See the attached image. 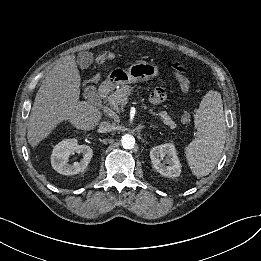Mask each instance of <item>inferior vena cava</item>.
Instances as JSON below:
<instances>
[{"instance_id":"602c4592","label":"inferior vena cava","mask_w":261,"mask_h":261,"mask_svg":"<svg viewBox=\"0 0 261 261\" xmlns=\"http://www.w3.org/2000/svg\"><path fill=\"white\" fill-rule=\"evenodd\" d=\"M114 130V126L110 123V122H102L99 125V132L101 133H107V132H111Z\"/></svg>"}]
</instances>
